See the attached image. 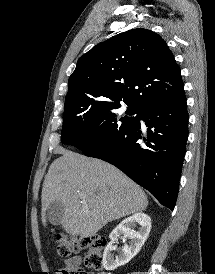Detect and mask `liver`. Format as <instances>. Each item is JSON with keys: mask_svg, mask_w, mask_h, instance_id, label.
<instances>
[{"mask_svg": "<svg viewBox=\"0 0 215 274\" xmlns=\"http://www.w3.org/2000/svg\"><path fill=\"white\" fill-rule=\"evenodd\" d=\"M49 167L42 187V222L47 209L59 201L62 228L72 236H94L108 222L142 212L144 191L113 165L65 149ZM84 195V199L80 197Z\"/></svg>", "mask_w": 215, "mask_h": 274, "instance_id": "6515ba94", "label": "liver"}]
</instances>
